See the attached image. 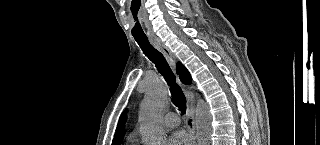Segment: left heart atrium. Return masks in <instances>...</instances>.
Here are the masks:
<instances>
[{
  "label": "left heart atrium",
  "mask_w": 320,
  "mask_h": 145,
  "mask_svg": "<svg viewBox=\"0 0 320 145\" xmlns=\"http://www.w3.org/2000/svg\"><path fill=\"white\" fill-rule=\"evenodd\" d=\"M191 140L183 131L172 134L168 140V145H190Z\"/></svg>",
  "instance_id": "1"
}]
</instances>
